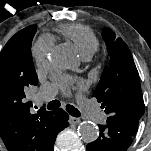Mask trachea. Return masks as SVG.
Here are the masks:
<instances>
[{
	"label": "trachea",
	"instance_id": "obj_1",
	"mask_svg": "<svg viewBox=\"0 0 151 151\" xmlns=\"http://www.w3.org/2000/svg\"><path fill=\"white\" fill-rule=\"evenodd\" d=\"M58 107H60V102L58 100H53L47 105V109H49V110H53ZM66 110L71 116L79 117L81 115L79 110L70 104L66 105Z\"/></svg>",
	"mask_w": 151,
	"mask_h": 151
}]
</instances>
